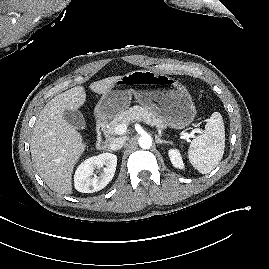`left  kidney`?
<instances>
[{
	"mask_svg": "<svg viewBox=\"0 0 269 269\" xmlns=\"http://www.w3.org/2000/svg\"><path fill=\"white\" fill-rule=\"evenodd\" d=\"M168 155L174 167L179 168V169L184 168V163H183L181 154L177 149H170L168 152Z\"/></svg>",
	"mask_w": 269,
	"mask_h": 269,
	"instance_id": "5707ae66",
	"label": "left kidney"
}]
</instances>
